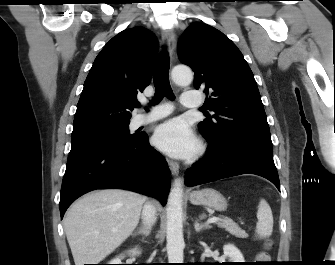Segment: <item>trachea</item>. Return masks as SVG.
Returning a JSON list of instances; mask_svg holds the SVG:
<instances>
[{
	"label": "trachea",
	"mask_w": 335,
	"mask_h": 265,
	"mask_svg": "<svg viewBox=\"0 0 335 265\" xmlns=\"http://www.w3.org/2000/svg\"><path fill=\"white\" fill-rule=\"evenodd\" d=\"M169 68L170 61L167 52L163 51L154 68L153 71V82L155 86V95L151 101V104H158L164 96H167L169 99L174 98L173 91L169 83ZM140 105L137 104L136 107Z\"/></svg>",
	"instance_id": "3493384b"
}]
</instances>
